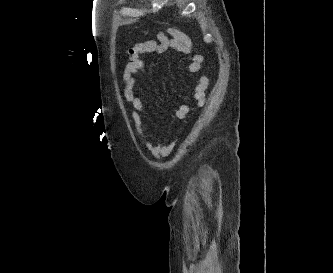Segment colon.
Segmentation results:
<instances>
[{
	"instance_id": "1",
	"label": "colon",
	"mask_w": 333,
	"mask_h": 273,
	"mask_svg": "<svg viewBox=\"0 0 333 273\" xmlns=\"http://www.w3.org/2000/svg\"><path fill=\"white\" fill-rule=\"evenodd\" d=\"M133 48H134V46L131 48V52H134V49H133Z\"/></svg>"
}]
</instances>
